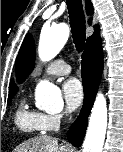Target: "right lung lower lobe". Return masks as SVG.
I'll return each mask as SVG.
<instances>
[{"instance_id":"right-lung-lower-lobe-1","label":"right lung lower lobe","mask_w":123,"mask_h":152,"mask_svg":"<svg viewBox=\"0 0 123 152\" xmlns=\"http://www.w3.org/2000/svg\"><path fill=\"white\" fill-rule=\"evenodd\" d=\"M81 74L84 89V105L77 120L67 132L69 142L80 147L87 128V119L95 100L97 89L103 70V52L99 36H95L86 43L82 55Z\"/></svg>"}]
</instances>
